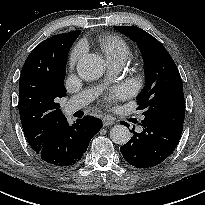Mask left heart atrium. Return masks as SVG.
Segmentation results:
<instances>
[{
    "instance_id": "39dd6f15",
    "label": "left heart atrium",
    "mask_w": 205,
    "mask_h": 205,
    "mask_svg": "<svg viewBox=\"0 0 205 205\" xmlns=\"http://www.w3.org/2000/svg\"><path fill=\"white\" fill-rule=\"evenodd\" d=\"M128 94V89L126 87H116L111 92L110 98H123Z\"/></svg>"
}]
</instances>
